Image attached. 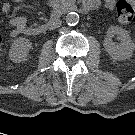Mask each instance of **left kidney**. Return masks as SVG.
Here are the masks:
<instances>
[{
    "label": "left kidney",
    "mask_w": 135,
    "mask_h": 135,
    "mask_svg": "<svg viewBox=\"0 0 135 135\" xmlns=\"http://www.w3.org/2000/svg\"><path fill=\"white\" fill-rule=\"evenodd\" d=\"M115 35L120 40V44L113 41ZM103 45L105 51L115 60L129 59L135 50V44L132 42L128 31L118 26H111L107 30Z\"/></svg>",
    "instance_id": "left-kidney-1"
}]
</instances>
